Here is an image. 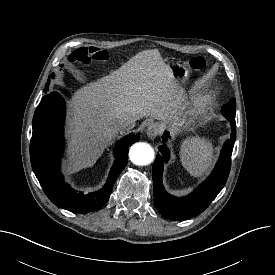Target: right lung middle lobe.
<instances>
[{
  "instance_id": "1",
  "label": "right lung middle lobe",
  "mask_w": 275,
  "mask_h": 275,
  "mask_svg": "<svg viewBox=\"0 0 275 275\" xmlns=\"http://www.w3.org/2000/svg\"><path fill=\"white\" fill-rule=\"evenodd\" d=\"M48 84H49V80H48V82H47V84H46V87L48 86ZM47 90V88L44 90V91H46Z\"/></svg>"
}]
</instances>
